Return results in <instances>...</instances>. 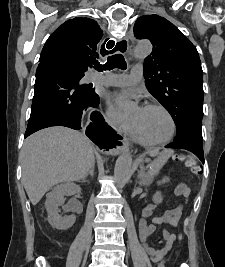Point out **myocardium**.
Returning a JSON list of instances; mask_svg holds the SVG:
<instances>
[{
	"label": "myocardium",
	"instance_id": "obj_1",
	"mask_svg": "<svg viewBox=\"0 0 225 267\" xmlns=\"http://www.w3.org/2000/svg\"><path fill=\"white\" fill-rule=\"evenodd\" d=\"M143 108L146 109H158L161 110L162 112H164L168 118L171 121V125H172V131L171 134L168 138L164 139V140H160V141H154V140H150L149 138H147L144 133L142 132V130L134 124V130L137 132V134L140 136V138L147 144V145H153V146H158V145H165L170 143L176 136L177 133V123L176 120L173 116V114L164 106L157 104V103H148L145 104L143 106Z\"/></svg>",
	"mask_w": 225,
	"mask_h": 267
}]
</instances>
